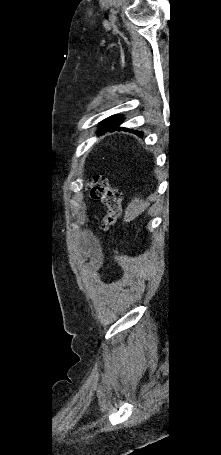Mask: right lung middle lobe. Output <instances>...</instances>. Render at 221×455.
Wrapping results in <instances>:
<instances>
[{"label": "right lung middle lobe", "instance_id": "dd1d6c3e", "mask_svg": "<svg viewBox=\"0 0 221 455\" xmlns=\"http://www.w3.org/2000/svg\"><path fill=\"white\" fill-rule=\"evenodd\" d=\"M121 118H122L121 116H113L102 121L99 132L103 133L104 131H107L109 128L117 124L121 120Z\"/></svg>", "mask_w": 221, "mask_h": 455}]
</instances>
